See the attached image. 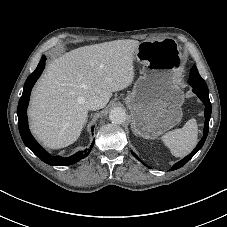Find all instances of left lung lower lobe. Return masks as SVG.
Here are the masks:
<instances>
[{"label": "left lung lower lobe", "instance_id": "left-lung-lower-lobe-1", "mask_svg": "<svg viewBox=\"0 0 227 227\" xmlns=\"http://www.w3.org/2000/svg\"><path fill=\"white\" fill-rule=\"evenodd\" d=\"M190 84L193 87V92L195 94H197V96L200 98V100L205 105V112H204L205 124H204L203 137L199 141L197 147L188 156H186L184 159L175 163L173 165V167L171 168V170L178 169V168L182 167L183 165H185L196 154V152L198 150H200V148L203 146V144H204V142L207 138V134H208V131H209V120H210V117H211V103H210V100H209L208 88H202L199 85V83H196V82H192ZM132 154L139 160V158L137 157V155L135 153L132 152Z\"/></svg>", "mask_w": 227, "mask_h": 227}]
</instances>
